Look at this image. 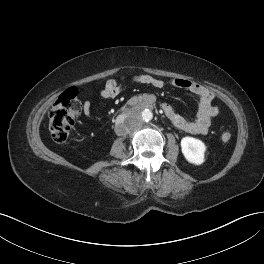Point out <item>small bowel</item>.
I'll return each mask as SVG.
<instances>
[{
    "instance_id": "small-bowel-1",
    "label": "small bowel",
    "mask_w": 264,
    "mask_h": 264,
    "mask_svg": "<svg viewBox=\"0 0 264 264\" xmlns=\"http://www.w3.org/2000/svg\"><path fill=\"white\" fill-rule=\"evenodd\" d=\"M134 81L148 84L154 88L161 89L166 85V82L157 79L150 75H138L135 76ZM170 85L186 89L196 95L199 99L198 110L193 119H187L177 113L169 104L162 105V111L165 116L176 128L185 131L190 134L204 135L208 132L211 120L217 115V108L212 105L213 94L201 84L190 81L187 79L175 78L168 82ZM122 86L116 84L114 81H109L100 90V95L104 99H113L121 91ZM82 111L85 116L95 117L99 119V116H93L92 105L89 100H85L82 105Z\"/></svg>"
}]
</instances>
